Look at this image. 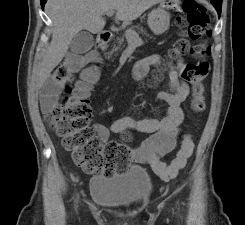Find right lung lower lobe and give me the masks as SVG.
Segmentation results:
<instances>
[{"instance_id":"obj_1","label":"right lung lower lobe","mask_w":245,"mask_h":225,"mask_svg":"<svg viewBox=\"0 0 245 225\" xmlns=\"http://www.w3.org/2000/svg\"><path fill=\"white\" fill-rule=\"evenodd\" d=\"M46 1L47 0H41V7H42V9H44V5H45Z\"/></svg>"}]
</instances>
